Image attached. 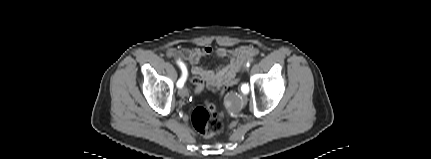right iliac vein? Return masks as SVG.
I'll return each instance as SVG.
<instances>
[{"mask_svg": "<svg viewBox=\"0 0 431 159\" xmlns=\"http://www.w3.org/2000/svg\"><path fill=\"white\" fill-rule=\"evenodd\" d=\"M179 96L186 97L188 95V89L186 87H182L178 91Z\"/></svg>", "mask_w": 431, "mask_h": 159, "instance_id": "obj_1", "label": "right iliac vein"}]
</instances>
